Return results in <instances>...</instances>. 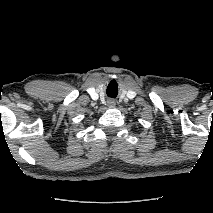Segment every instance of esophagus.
Segmentation results:
<instances>
[{
  "instance_id": "esophagus-1",
  "label": "esophagus",
  "mask_w": 213,
  "mask_h": 213,
  "mask_svg": "<svg viewBox=\"0 0 213 213\" xmlns=\"http://www.w3.org/2000/svg\"><path fill=\"white\" fill-rule=\"evenodd\" d=\"M108 106L109 107H114L115 106V102L113 100L108 101Z\"/></svg>"
}]
</instances>
